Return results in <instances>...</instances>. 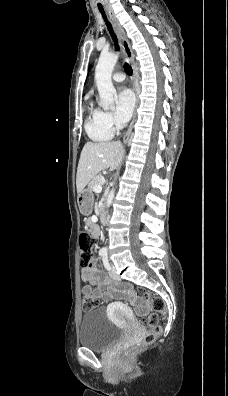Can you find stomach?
<instances>
[{"instance_id": "1", "label": "stomach", "mask_w": 228, "mask_h": 396, "mask_svg": "<svg viewBox=\"0 0 228 396\" xmlns=\"http://www.w3.org/2000/svg\"><path fill=\"white\" fill-rule=\"evenodd\" d=\"M94 195L92 190L83 189L77 196V203L81 214L89 216L92 212Z\"/></svg>"}]
</instances>
